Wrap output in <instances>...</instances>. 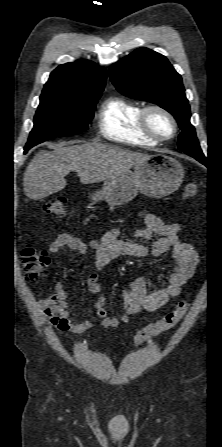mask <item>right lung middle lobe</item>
<instances>
[{
  "instance_id": "1",
  "label": "right lung middle lobe",
  "mask_w": 222,
  "mask_h": 447,
  "mask_svg": "<svg viewBox=\"0 0 222 447\" xmlns=\"http://www.w3.org/2000/svg\"><path fill=\"white\" fill-rule=\"evenodd\" d=\"M100 94L75 96L59 91H42L25 150L48 139L88 129Z\"/></svg>"
}]
</instances>
